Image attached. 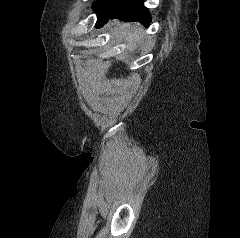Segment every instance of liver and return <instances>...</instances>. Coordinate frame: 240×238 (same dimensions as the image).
Here are the masks:
<instances>
[{
	"label": "liver",
	"instance_id": "6515ba94",
	"mask_svg": "<svg viewBox=\"0 0 240 238\" xmlns=\"http://www.w3.org/2000/svg\"><path fill=\"white\" fill-rule=\"evenodd\" d=\"M116 27L112 29L113 36L118 42H125L126 50L132 51L141 42L142 29L135 28L133 31L126 23H114Z\"/></svg>",
	"mask_w": 240,
	"mask_h": 238
}]
</instances>
